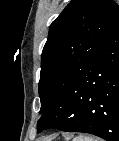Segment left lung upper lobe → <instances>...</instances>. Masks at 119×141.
<instances>
[{"mask_svg":"<svg viewBox=\"0 0 119 141\" xmlns=\"http://www.w3.org/2000/svg\"><path fill=\"white\" fill-rule=\"evenodd\" d=\"M118 15L119 6L111 0H72L53 21L41 55L39 113L84 71Z\"/></svg>","mask_w":119,"mask_h":141,"instance_id":"obj_1","label":"left lung upper lobe"}]
</instances>
